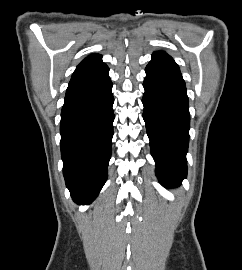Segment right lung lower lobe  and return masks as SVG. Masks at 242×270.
Here are the masks:
<instances>
[{
	"label": "right lung lower lobe",
	"mask_w": 242,
	"mask_h": 270,
	"mask_svg": "<svg viewBox=\"0 0 242 270\" xmlns=\"http://www.w3.org/2000/svg\"><path fill=\"white\" fill-rule=\"evenodd\" d=\"M109 68L100 61L72 76L61 112V154L66 186L79 204L93 201L107 179L114 98Z\"/></svg>",
	"instance_id": "obj_1"
}]
</instances>
